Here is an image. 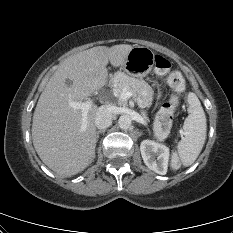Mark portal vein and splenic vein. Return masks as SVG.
Returning <instances> with one entry per match:
<instances>
[{
  "label": "portal vein and splenic vein",
  "instance_id": "portal-vein-and-splenic-vein-1",
  "mask_svg": "<svg viewBox=\"0 0 233 233\" xmlns=\"http://www.w3.org/2000/svg\"><path fill=\"white\" fill-rule=\"evenodd\" d=\"M132 96V93L128 91L126 88L123 89V92L120 96L121 101H127ZM92 100H87L84 102H76L73 100H69L70 107L74 109H80L82 110V129H85L86 127V116L88 113V110L93 106Z\"/></svg>",
  "mask_w": 233,
  "mask_h": 233
}]
</instances>
